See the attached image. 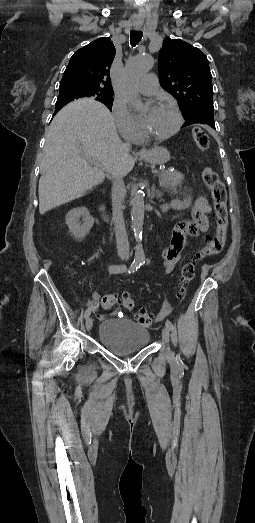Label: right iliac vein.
<instances>
[{"instance_id": "obj_1", "label": "right iliac vein", "mask_w": 255, "mask_h": 523, "mask_svg": "<svg viewBox=\"0 0 255 523\" xmlns=\"http://www.w3.org/2000/svg\"><path fill=\"white\" fill-rule=\"evenodd\" d=\"M85 326H86V329H87L88 331L91 330V328H92V326H93V320H92L91 317H88V318L86 319Z\"/></svg>"}]
</instances>
